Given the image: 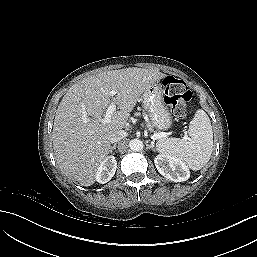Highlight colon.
Wrapping results in <instances>:
<instances>
[{
  "label": "colon",
  "mask_w": 257,
  "mask_h": 257,
  "mask_svg": "<svg viewBox=\"0 0 257 257\" xmlns=\"http://www.w3.org/2000/svg\"><path fill=\"white\" fill-rule=\"evenodd\" d=\"M161 84L165 102L171 112L175 117L183 118L192 97L191 91L183 81L172 76L165 77Z\"/></svg>",
  "instance_id": "1"
}]
</instances>
